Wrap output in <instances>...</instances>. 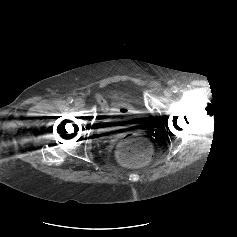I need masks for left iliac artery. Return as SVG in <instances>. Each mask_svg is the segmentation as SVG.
Masks as SVG:
<instances>
[{"label": "left iliac artery", "instance_id": "obj_1", "mask_svg": "<svg viewBox=\"0 0 237 237\" xmlns=\"http://www.w3.org/2000/svg\"><path fill=\"white\" fill-rule=\"evenodd\" d=\"M172 91H173L174 93H177V92L179 91V88H178L177 86H173V87H172Z\"/></svg>", "mask_w": 237, "mask_h": 237}]
</instances>
